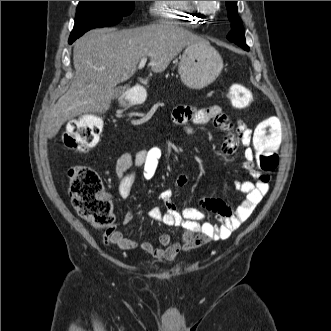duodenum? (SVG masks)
<instances>
[{"instance_id":"410a0bca","label":"duodenum","mask_w":331,"mask_h":331,"mask_svg":"<svg viewBox=\"0 0 331 331\" xmlns=\"http://www.w3.org/2000/svg\"><path fill=\"white\" fill-rule=\"evenodd\" d=\"M146 95V90L142 85H136L131 88L126 94V100L132 104L143 102Z\"/></svg>"}]
</instances>
